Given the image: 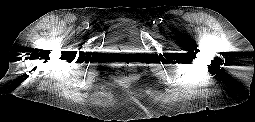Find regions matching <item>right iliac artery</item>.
<instances>
[{
	"mask_svg": "<svg viewBox=\"0 0 255 122\" xmlns=\"http://www.w3.org/2000/svg\"><path fill=\"white\" fill-rule=\"evenodd\" d=\"M83 26H84V28L88 29L89 28V23L85 22Z\"/></svg>",
	"mask_w": 255,
	"mask_h": 122,
	"instance_id": "obj_1",
	"label": "right iliac artery"
}]
</instances>
